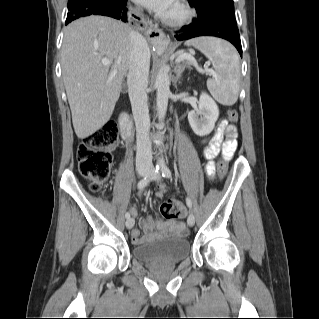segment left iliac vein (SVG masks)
<instances>
[{
  "label": "left iliac vein",
  "instance_id": "4c4485c4",
  "mask_svg": "<svg viewBox=\"0 0 319 319\" xmlns=\"http://www.w3.org/2000/svg\"><path fill=\"white\" fill-rule=\"evenodd\" d=\"M160 178H161V176L159 174H156L154 177L155 180H160ZM187 223L189 226H193L195 224V216L193 213H190L188 215Z\"/></svg>",
  "mask_w": 319,
  "mask_h": 319
}]
</instances>
